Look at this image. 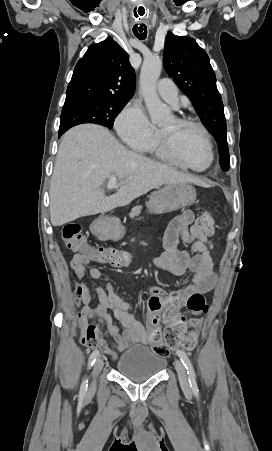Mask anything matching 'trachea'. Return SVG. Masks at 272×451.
<instances>
[{
  "instance_id": "3493384b",
  "label": "trachea",
  "mask_w": 272,
  "mask_h": 451,
  "mask_svg": "<svg viewBox=\"0 0 272 451\" xmlns=\"http://www.w3.org/2000/svg\"><path fill=\"white\" fill-rule=\"evenodd\" d=\"M133 32H134V35H135L137 38H139L140 40H143V39L146 38V34H147V32H146V27H145L144 33H138L137 30H133Z\"/></svg>"
}]
</instances>
